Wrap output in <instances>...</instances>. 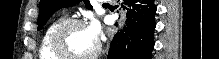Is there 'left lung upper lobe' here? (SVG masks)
I'll list each match as a JSON object with an SVG mask.
<instances>
[{"instance_id":"5c2ea615","label":"left lung upper lobe","mask_w":219,"mask_h":59,"mask_svg":"<svg viewBox=\"0 0 219 59\" xmlns=\"http://www.w3.org/2000/svg\"><path fill=\"white\" fill-rule=\"evenodd\" d=\"M81 1L82 0H40L37 30H40L57 10L74 6ZM84 4L86 8L92 10L89 0H84Z\"/></svg>"}]
</instances>
